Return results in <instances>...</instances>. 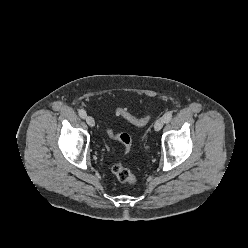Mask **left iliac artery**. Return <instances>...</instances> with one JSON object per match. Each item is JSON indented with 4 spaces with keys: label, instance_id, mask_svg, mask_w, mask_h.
Listing matches in <instances>:
<instances>
[{
    "label": "left iliac artery",
    "instance_id": "obj_1",
    "mask_svg": "<svg viewBox=\"0 0 248 248\" xmlns=\"http://www.w3.org/2000/svg\"><path fill=\"white\" fill-rule=\"evenodd\" d=\"M165 122L168 123L172 119V112H167L164 115Z\"/></svg>",
    "mask_w": 248,
    "mask_h": 248
}]
</instances>
